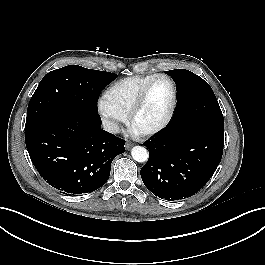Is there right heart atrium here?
<instances>
[{
    "instance_id": "right-heart-atrium-1",
    "label": "right heart atrium",
    "mask_w": 265,
    "mask_h": 265,
    "mask_svg": "<svg viewBox=\"0 0 265 265\" xmlns=\"http://www.w3.org/2000/svg\"><path fill=\"white\" fill-rule=\"evenodd\" d=\"M98 112L103 120L105 129L112 134L119 133L121 126L126 122L127 117L111 108L105 100L98 103Z\"/></svg>"
}]
</instances>
